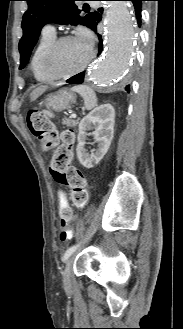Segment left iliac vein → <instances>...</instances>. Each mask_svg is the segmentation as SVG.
I'll return each instance as SVG.
<instances>
[{
  "label": "left iliac vein",
  "instance_id": "obj_1",
  "mask_svg": "<svg viewBox=\"0 0 183 329\" xmlns=\"http://www.w3.org/2000/svg\"><path fill=\"white\" fill-rule=\"evenodd\" d=\"M73 260H74V255H71L63 271V285L66 291H69L71 289V270H72Z\"/></svg>",
  "mask_w": 183,
  "mask_h": 329
}]
</instances>
